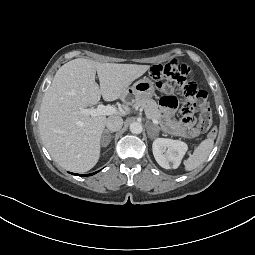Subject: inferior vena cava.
Here are the masks:
<instances>
[{
    "instance_id": "inferior-vena-cava-1",
    "label": "inferior vena cava",
    "mask_w": 255,
    "mask_h": 255,
    "mask_svg": "<svg viewBox=\"0 0 255 255\" xmlns=\"http://www.w3.org/2000/svg\"><path fill=\"white\" fill-rule=\"evenodd\" d=\"M122 126L123 119L119 116L109 117L106 121V127L112 132L120 130Z\"/></svg>"
}]
</instances>
